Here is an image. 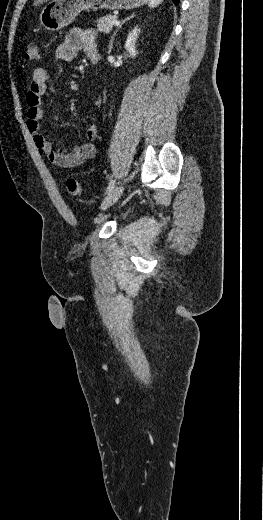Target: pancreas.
I'll return each mask as SVG.
<instances>
[{
  "instance_id": "1",
  "label": "pancreas",
  "mask_w": 263,
  "mask_h": 520,
  "mask_svg": "<svg viewBox=\"0 0 263 520\" xmlns=\"http://www.w3.org/2000/svg\"><path fill=\"white\" fill-rule=\"evenodd\" d=\"M116 15H105L100 17L97 20V29L101 32L108 33L111 31L112 27L114 26L113 21L117 20Z\"/></svg>"
}]
</instances>
